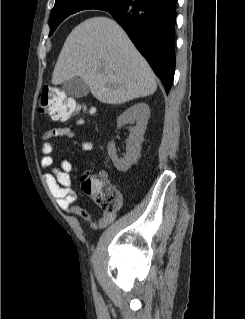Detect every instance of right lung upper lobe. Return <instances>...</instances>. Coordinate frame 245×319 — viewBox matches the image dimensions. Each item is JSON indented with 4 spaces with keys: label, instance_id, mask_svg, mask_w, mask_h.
<instances>
[{
    "label": "right lung upper lobe",
    "instance_id": "obj_1",
    "mask_svg": "<svg viewBox=\"0 0 245 319\" xmlns=\"http://www.w3.org/2000/svg\"><path fill=\"white\" fill-rule=\"evenodd\" d=\"M69 1H78V0H69Z\"/></svg>",
    "mask_w": 245,
    "mask_h": 319
}]
</instances>
